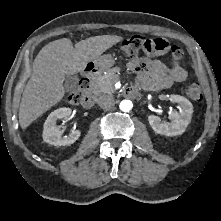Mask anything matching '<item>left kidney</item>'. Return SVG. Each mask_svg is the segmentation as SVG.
I'll use <instances>...</instances> for the list:
<instances>
[{
	"instance_id": "left-kidney-1",
	"label": "left kidney",
	"mask_w": 221,
	"mask_h": 221,
	"mask_svg": "<svg viewBox=\"0 0 221 221\" xmlns=\"http://www.w3.org/2000/svg\"><path fill=\"white\" fill-rule=\"evenodd\" d=\"M169 99L171 102H176L180 106L179 112L174 111L169 114L171 123L162 122L155 115H149L148 122L155 133L165 136L181 135L190 123L193 105L188 99L180 95L171 94Z\"/></svg>"
}]
</instances>
